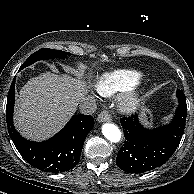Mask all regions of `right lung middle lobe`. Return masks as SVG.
I'll use <instances>...</instances> for the list:
<instances>
[{
	"label": "right lung middle lobe",
	"instance_id": "obj_1",
	"mask_svg": "<svg viewBox=\"0 0 194 194\" xmlns=\"http://www.w3.org/2000/svg\"><path fill=\"white\" fill-rule=\"evenodd\" d=\"M69 53L68 52H64L61 50H55V49H48V48H42L38 51H36L35 53H33L21 66V68H25L29 65H31L32 63L41 60V59H48V58H66L67 55Z\"/></svg>",
	"mask_w": 194,
	"mask_h": 194
}]
</instances>
